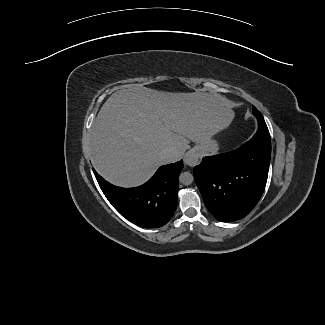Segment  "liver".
I'll return each instance as SVG.
<instances>
[{
  "instance_id": "1",
  "label": "liver",
  "mask_w": 325,
  "mask_h": 325,
  "mask_svg": "<svg viewBox=\"0 0 325 325\" xmlns=\"http://www.w3.org/2000/svg\"><path fill=\"white\" fill-rule=\"evenodd\" d=\"M233 119L230 102L210 93H171L131 85L114 92L101 107L89 134L96 171L112 184L146 182L171 149L179 160L189 142L200 143Z\"/></svg>"
}]
</instances>
